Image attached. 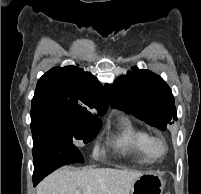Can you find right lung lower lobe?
Listing matches in <instances>:
<instances>
[{
	"label": "right lung lower lobe",
	"mask_w": 201,
	"mask_h": 194,
	"mask_svg": "<svg viewBox=\"0 0 201 194\" xmlns=\"http://www.w3.org/2000/svg\"><path fill=\"white\" fill-rule=\"evenodd\" d=\"M78 153L72 143L59 142L48 136L34 140V186L55 169L66 165Z\"/></svg>",
	"instance_id": "1"
}]
</instances>
